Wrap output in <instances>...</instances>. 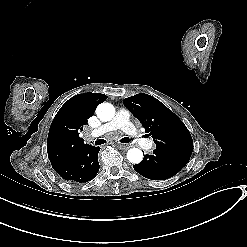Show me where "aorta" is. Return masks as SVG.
Returning a JSON list of instances; mask_svg holds the SVG:
<instances>
[{
  "label": "aorta",
  "mask_w": 247,
  "mask_h": 247,
  "mask_svg": "<svg viewBox=\"0 0 247 247\" xmlns=\"http://www.w3.org/2000/svg\"><path fill=\"white\" fill-rule=\"evenodd\" d=\"M97 117L104 122L110 121L115 116V108L110 103H101L96 108ZM129 162L139 164L143 159V153L138 148L129 149L127 152Z\"/></svg>",
  "instance_id": "1"
}]
</instances>
